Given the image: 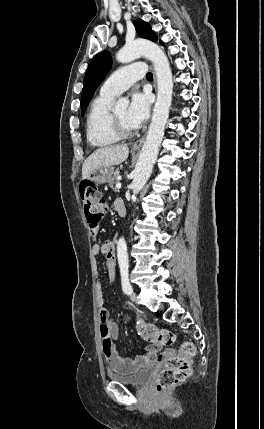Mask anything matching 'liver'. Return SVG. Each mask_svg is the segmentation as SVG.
<instances>
[{
	"label": "liver",
	"instance_id": "1",
	"mask_svg": "<svg viewBox=\"0 0 264 429\" xmlns=\"http://www.w3.org/2000/svg\"><path fill=\"white\" fill-rule=\"evenodd\" d=\"M129 155L127 145L102 147L94 151L82 165V179H86L101 166H113L124 162Z\"/></svg>",
	"mask_w": 264,
	"mask_h": 429
}]
</instances>
